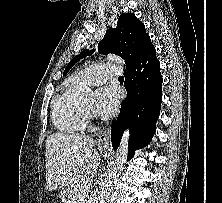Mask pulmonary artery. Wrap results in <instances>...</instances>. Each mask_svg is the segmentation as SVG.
Segmentation results:
<instances>
[{
	"label": "pulmonary artery",
	"mask_w": 222,
	"mask_h": 203,
	"mask_svg": "<svg viewBox=\"0 0 222 203\" xmlns=\"http://www.w3.org/2000/svg\"><path fill=\"white\" fill-rule=\"evenodd\" d=\"M122 73L123 70L119 65L100 63L75 73L73 78L82 85H98L113 76H120Z\"/></svg>",
	"instance_id": "e3ab8cb5"
}]
</instances>
